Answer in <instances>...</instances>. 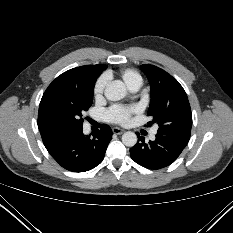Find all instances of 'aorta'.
<instances>
[{
	"mask_svg": "<svg viewBox=\"0 0 233 233\" xmlns=\"http://www.w3.org/2000/svg\"><path fill=\"white\" fill-rule=\"evenodd\" d=\"M104 94L108 100L118 101L127 95V90L124 83L117 80L107 85ZM122 142L125 146L133 147L137 143V136L134 132H125L122 135Z\"/></svg>",
	"mask_w": 233,
	"mask_h": 233,
	"instance_id": "aorta-1",
	"label": "aorta"
}]
</instances>
